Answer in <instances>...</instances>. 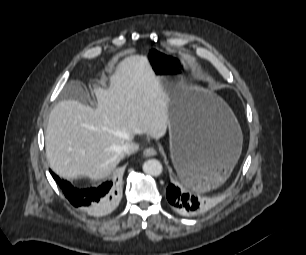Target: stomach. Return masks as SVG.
Here are the masks:
<instances>
[{"mask_svg":"<svg viewBox=\"0 0 306 255\" xmlns=\"http://www.w3.org/2000/svg\"><path fill=\"white\" fill-rule=\"evenodd\" d=\"M140 51L147 55L168 98L170 154L180 178L200 191L220 186L242 150V131L233 112L223 99L187 80L182 56L154 50L151 43H143ZM185 161L206 169L201 183L183 179Z\"/></svg>","mask_w":306,"mask_h":255,"instance_id":"0dacf381","label":"stomach"}]
</instances>
